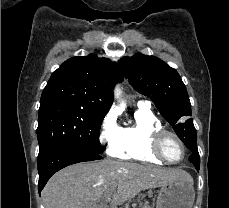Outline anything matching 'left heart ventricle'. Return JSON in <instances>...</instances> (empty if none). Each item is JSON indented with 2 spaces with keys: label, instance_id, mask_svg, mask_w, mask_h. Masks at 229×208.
I'll return each mask as SVG.
<instances>
[{
  "label": "left heart ventricle",
  "instance_id": "left-heart-ventricle-1",
  "mask_svg": "<svg viewBox=\"0 0 229 208\" xmlns=\"http://www.w3.org/2000/svg\"><path fill=\"white\" fill-rule=\"evenodd\" d=\"M174 136L169 135L166 138L165 144V153L167 154V157H170L173 160H180L184 155V148L179 147L178 143H174Z\"/></svg>",
  "mask_w": 229,
  "mask_h": 208
}]
</instances>
